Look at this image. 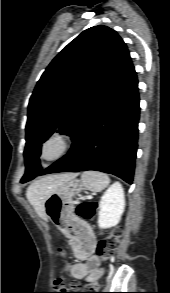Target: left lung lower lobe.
Segmentation results:
<instances>
[{
  "instance_id": "obj_1",
  "label": "left lung lower lobe",
  "mask_w": 170,
  "mask_h": 293,
  "mask_svg": "<svg viewBox=\"0 0 170 293\" xmlns=\"http://www.w3.org/2000/svg\"><path fill=\"white\" fill-rule=\"evenodd\" d=\"M140 107L131 59L73 137L68 154L38 175L96 170L132 184Z\"/></svg>"
}]
</instances>
